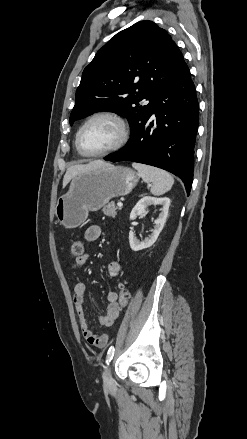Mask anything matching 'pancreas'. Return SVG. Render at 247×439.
<instances>
[{
  "label": "pancreas",
  "mask_w": 247,
  "mask_h": 439,
  "mask_svg": "<svg viewBox=\"0 0 247 439\" xmlns=\"http://www.w3.org/2000/svg\"><path fill=\"white\" fill-rule=\"evenodd\" d=\"M118 209L119 208L116 207L114 202H110L109 204H107L106 206L103 207V213L106 216L114 218L117 215V210Z\"/></svg>",
  "instance_id": "cf45deb5"
}]
</instances>
